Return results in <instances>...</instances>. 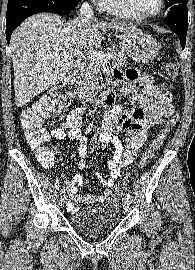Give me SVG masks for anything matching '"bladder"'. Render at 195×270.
I'll return each instance as SVG.
<instances>
[{
	"mask_svg": "<svg viewBox=\"0 0 195 270\" xmlns=\"http://www.w3.org/2000/svg\"><path fill=\"white\" fill-rule=\"evenodd\" d=\"M120 211L115 204L88 206L71 217V224L80 232L97 236L113 230L119 223Z\"/></svg>",
	"mask_w": 195,
	"mask_h": 270,
	"instance_id": "bladder-1",
	"label": "bladder"
}]
</instances>
